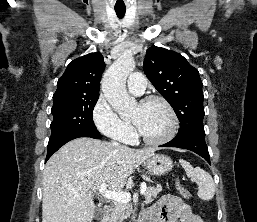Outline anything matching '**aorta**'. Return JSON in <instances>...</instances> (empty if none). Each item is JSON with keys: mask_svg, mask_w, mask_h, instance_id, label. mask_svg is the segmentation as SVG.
Returning <instances> with one entry per match:
<instances>
[{"mask_svg": "<svg viewBox=\"0 0 257 222\" xmlns=\"http://www.w3.org/2000/svg\"><path fill=\"white\" fill-rule=\"evenodd\" d=\"M135 68V61L130 52H124L105 72L101 87L111 107L121 116L132 112L137 101L128 95L126 80Z\"/></svg>", "mask_w": 257, "mask_h": 222, "instance_id": "762f6f07", "label": "aorta"}]
</instances>
